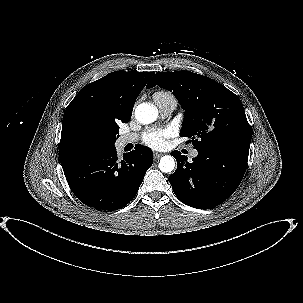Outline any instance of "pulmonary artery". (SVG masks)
I'll return each instance as SVG.
<instances>
[{
	"mask_svg": "<svg viewBox=\"0 0 303 303\" xmlns=\"http://www.w3.org/2000/svg\"><path fill=\"white\" fill-rule=\"evenodd\" d=\"M159 111L163 117L169 116L173 110L176 107L175 102H164L158 105ZM138 139V135L135 133L131 134H123L119 137L118 142L121 146L127 145L129 143H133ZM198 155V152L196 150H193L191 152L192 157H196Z\"/></svg>",
	"mask_w": 303,
	"mask_h": 303,
	"instance_id": "e3ab8cb5",
	"label": "pulmonary artery"
}]
</instances>
